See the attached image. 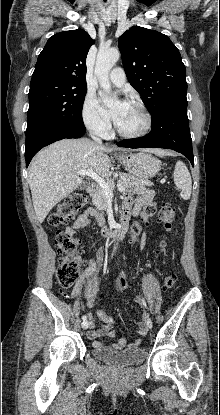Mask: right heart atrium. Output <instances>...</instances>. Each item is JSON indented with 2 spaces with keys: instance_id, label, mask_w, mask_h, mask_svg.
<instances>
[{
  "instance_id": "right-heart-atrium-1",
  "label": "right heart atrium",
  "mask_w": 220,
  "mask_h": 415,
  "mask_svg": "<svg viewBox=\"0 0 220 415\" xmlns=\"http://www.w3.org/2000/svg\"><path fill=\"white\" fill-rule=\"evenodd\" d=\"M82 120L85 127L92 133L105 136L109 131V122L104 117L102 109L94 93L87 92L82 104Z\"/></svg>"
}]
</instances>
